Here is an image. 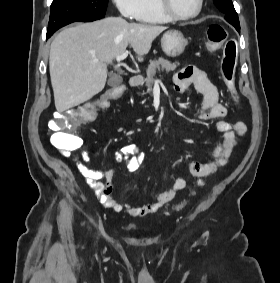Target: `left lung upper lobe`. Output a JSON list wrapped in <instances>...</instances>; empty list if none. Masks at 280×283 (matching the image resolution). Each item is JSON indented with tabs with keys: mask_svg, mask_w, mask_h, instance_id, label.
I'll list each match as a JSON object with an SVG mask.
<instances>
[{
	"mask_svg": "<svg viewBox=\"0 0 280 283\" xmlns=\"http://www.w3.org/2000/svg\"><path fill=\"white\" fill-rule=\"evenodd\" d=\"M215 6L225 14L227 22L233 26H240L238 14L236 13L232 0H213Z\"/></svg>",
	"mask_w": 280,
	"mask_h": 283,
	"instance_id": "obj_1",
	"label": "left lung upper lobe"
}]
</instances>
